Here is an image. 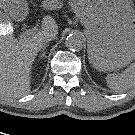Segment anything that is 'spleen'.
<instances>
[{
	"label": "spleen",
	"instance_id": "spleen-1",
	"mask_svg": "<svg viewBox=\"0 0 135 135\" xmlns=\"http://www.w3.org/2000/svg\"><path fill=\"white\" fill-rule=\"evenodd\" d=\"M107 86L116 91L124 92L135 86V62L125 71L119 74H108L106 77Z\"/></svg>",
	"mask_w": 135,
	"mask_h": 135
}]
</instances>
